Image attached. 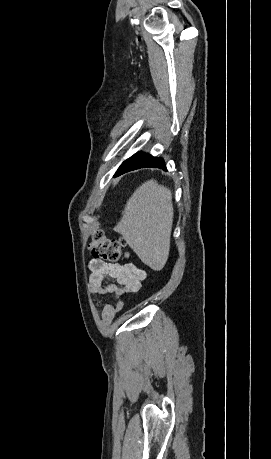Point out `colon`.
<instances>
[{
  "mask_svg": "<svg viewBox=\"0 0 271 459\" xmlns=\"http://www.w3.org/2000/svg\"><path fill=\"white\" fill-rule=\"evenodd\" d=\"M89 247L93 257L101 261L115 262L127 256L123 240L110 239L101 232L93 235Z\"/></svg>",
  "mask_w": 271,
  "mask_h": 459,
  "instance_id": "5ec220e1",
  "label": "colon"
}]
</instances>
